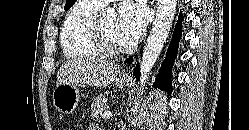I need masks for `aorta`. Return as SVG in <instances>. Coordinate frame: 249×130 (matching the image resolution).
<instances>
[{"instance_id": "aorta-1", "label": "aorta", "mask_w": 249, "mask_h": 130, "mask_svg": "<svg viewBox=\"0 0 249 130\" xmlns=\"http://www.w3.org/2000/svg\"><path fill=\"white\" fill-rule=\"evenodd\" d=\"M176 5V0L157 1L156 18L142 54L140 65V89L138 90L137 98L135 99L132 108L133 114H135L139 108L141 103L140 98L144 92L147 76L156 63L172 27Z\"/></svg>"}]
</instances>
